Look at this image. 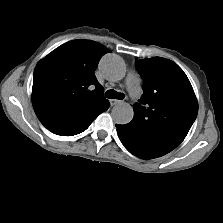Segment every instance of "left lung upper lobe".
<instances>
[{
	"label": "left lung upper lobe",
	"mask_w": 223,
	"mask_h": 223,
	"mask_svg": "<svg viewBox=\"0 0 223 223\" xmlns=\"http://www.w3.org/2000/svg\"><path fill=\"white\" fill-rule=\"evenodd\" d=\"M144 94L128 124L137 140L170 152L186 137L198 113L193 88L173 61L153 57L136 61Z\"/></svg>",
	"instance_id": "1"
}]
</instances>
